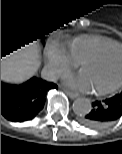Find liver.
Returning <instances> with one entry per match:
<instances>
[{
	"label": "liver",
	"mask_w": 122,
	"mask_h": 154,
	"mask_svg": "<svg viewBox=\"0 0 122 154\" xmlns=\"http://www.w3.org/2000/svg\"><path fill=\"white\" fill-rule=\"evenodd\" d=\"M41 64L40 50L35 41L1 57V80L20 83L32 77Z\"/></svg>",
	"instance_id": "liver-1"
}]
</instances>
